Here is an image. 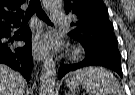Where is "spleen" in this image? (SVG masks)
<instances>
[{"label": "spleen", "instance_id": "spleen-1", "mask_svg": "<svg viewBox=\"0 0 135 95\" xmlns=\"http://www.w3.org/2000/svg\"><path fill=\"white\" fill-rule=\"evenodd\" d=\"M89 95H124L116 77L102 67H86L71 73Z\"/></svg>", "mask_w": 135, "mask_h": 95}]
</instances>
